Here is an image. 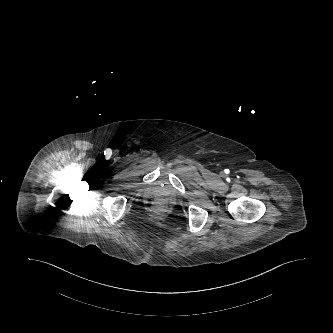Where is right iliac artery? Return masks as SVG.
<instances>
[{"label":"right iliac artery","mask_w":333,"mask_h":333,"mask_svg":"<svg viewBox=\"0 0 333 333\" xmlns=\"http://www.w3.org/2000/svg\"><path fill=\"white\" fill-rule=\"evenodd\" d=\"M105 152H110V149H107Z\"/></svg>","instance_id":"1"}]
</instances>
